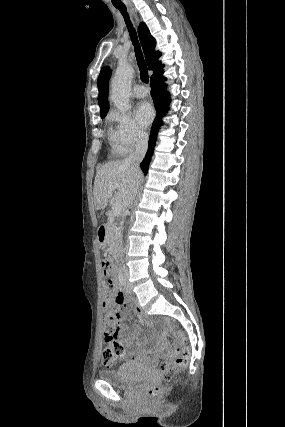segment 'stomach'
<instances>
[{
    "label": "stomach",
    "mask_w": 285,
    "mask_h": 427,
    "mask_svg": "<svg viewBox=\"0 0 285 427\" xmlns=\"http://www.w3.org/2000/svg\"><path fill=\"white\" fill-rule=\"evenodd\" d=\"M101 246H102V247H104V246H105V244H101Z\"/></svg>",
    "instance_id": "obj_1"
}]
</instances>
